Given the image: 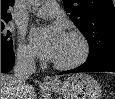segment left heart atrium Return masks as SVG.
<instances>
[{"mask_svg":"<svg viewBox=\"0 0 115 99\" xmlns=\"http://www.w3.org/2000/svg\"><path fill=\"white\" fill-rule=\"evenodd\" d=\"M65 37V33L59 27L34 28L30 33L34 51L49 61H55Z\"/></svg>","mask_w":115,"mask_h":99,"instance_id":"1","label":"left heart atrium"}]
</instances>
